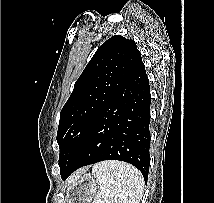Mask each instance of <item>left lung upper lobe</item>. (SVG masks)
I'll list each match as a JSON object with an SVG mask.
<instances>
[{
    "label": "left lung upper lobe",
    "instance_id": "left-lung-upper-lobe-1",
    "mask_svg": "<svg viewBox=\"0 0 214 203\" xmlns=\"http://www.w3.org/2000/svg\"><path fill=\"white\" fill-rule=\"evenodd\" d=\"M141 62L135 42L121 35L97 49L60 112L57 142L61 175L79 152L94 121Z\"/></svg>",
    "mask_w": 214,
    "mask_h": 203
}]
</instances>
